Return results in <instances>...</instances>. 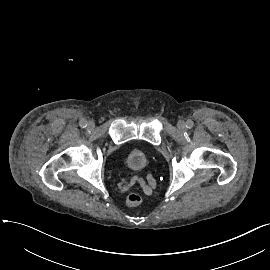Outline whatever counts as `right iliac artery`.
Wrapping results in <instances>:
<instances>
[{
    "label": "right iliac artery",
    "instance_id": "82829eb1",
    "mask_svg": "<svg viewBox=\"0 0 270 270\" xmlns=\"http://www.w3.org/2000/svg\"><path fill=\"white\" fill-rule=\"evenodd\" d=\"M79 124H80V126L82 128H85L87 126V121L86 120H81Z\"/></svg>",
    "mask_w": 270,
    "mask_h": 270
}]
</instances>
